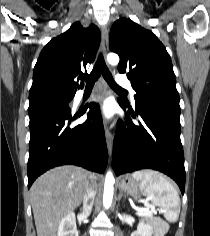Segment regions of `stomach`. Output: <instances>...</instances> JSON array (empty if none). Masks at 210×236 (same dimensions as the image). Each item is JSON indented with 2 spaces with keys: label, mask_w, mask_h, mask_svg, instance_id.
Listing matches in <instances>:
<instances>
[{
  "label": "stomach",
  "mask_w": 210,
  "mask_h": 236,
  "mask_svg": "<svg viewBox=\"0 0 210 236\" xmlns=\"http://www.w3.org/2000/svg\"><path fill=\"white\" fill-rule=\"evenodd\" d=\"M119 186L126 194L131 195L135 199H139L143 193L140 182L132 176L126 175L119 179Z\"/></svg>",
  "instance_id": "1"
}]
</instances>
